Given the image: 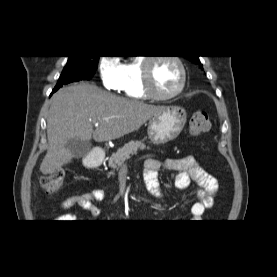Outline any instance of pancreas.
<instances>
[{
  "label": "pancreas",
  "instance_id": "1",
  "mask_svg": "<svg viewBox=\"0 0 277 277\" xmlns=\"http://www.w3.org/2000/svg\"><path fill=\"white\" fill-rule=\"evenodd\" d=\"M145 148L146 145L141 141H130L110 157L108 166L113 170H118L127 159L136 155L138 150H144Z\"/></svg>",
  "mask_w": 277,
  "mask_h": 277
}]
</instances>
